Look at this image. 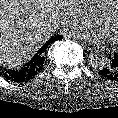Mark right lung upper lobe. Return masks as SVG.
Segmentation results:
<instances>
[{"label": "right lung upper lobe", "instance_id": "obj_1", "mask_svg": "<svg viewBox=\"0 0 118 118\" xmlns=\"http://www.w3.org/2000/svg\"><path fill=\"white\" fill-rule=\"evenodd\" d=\"M53 40L50 39L48 42H46L42 47L41 49L37 52L36 56L35 57H38L40 55H42L44 52H46V49L48 47V45L52 42Z\"/></svg>", "mask_w": 118, "mask_h": 118}]
</instances>
